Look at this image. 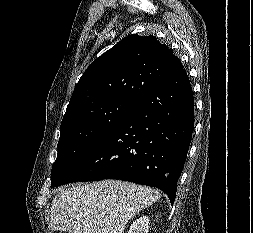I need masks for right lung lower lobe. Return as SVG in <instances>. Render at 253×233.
Masks as SVG:
<instances>
[{"mask_svg":"<svg viewBox=\"0 0 253 233\" xmlns=\"http://www.w3.org/2000/svg\"><path fill=\"white\" fill-rule=\"evenodd\" d=\"M193 128V92L181 69L136 99L115 128L52 187L121 179L159 188L173 204Z\"/></svg>","mask_w":253,"mask_h":233,"instance_id":"right-lung-lower-lobe-1","label":"right lung lower lobe"}]
</instances>
